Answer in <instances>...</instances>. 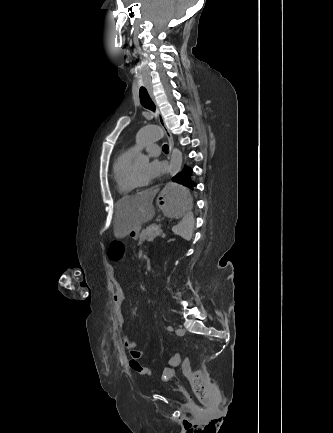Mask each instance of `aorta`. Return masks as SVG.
<instances>
[{
  "instance_id": "1",
  "label": "aorta",
  "mask_w": 333,
  "mask_h": 433,
  "mask_svg": "<svg viewBox=\"0 0 333 433\" xmlns=\"http://www.w3.org/2000/svg\"><path fill=\"white\" fill-rule=\"evenodd\" d=\"M165 137L164 130L155 125L145 126L141 128L136 135V143L143 147L149 143L159 142ZM183 157L179 149L173 148L170 160V176H175L182 165ZM137 165H146L149 162V157L144 154H139L135 160Z\"/></svg>"
}]
</instances>
